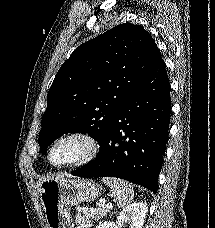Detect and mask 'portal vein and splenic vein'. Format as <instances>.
Instances as JSON below:
<instances>
[{
    "instance_id": "18ae733b",
    "label": "portal vein and splenic vein",
    "mask_w": 215,
    "mask_h": 228,
    "mask_svg": "<svg viewBox=\"0 0 215 228\" xmlns=\"http://www.w3.org/2000/svg\"><path fill=\"white\" fill-rule=\"evenodd\" d=\"M103 208H106V210H111V208H113L112 204H105V206H103Z\"/></svg>"
}]
</instances>
